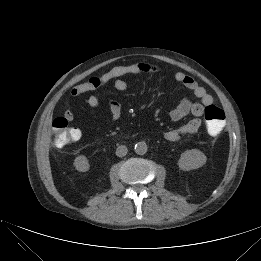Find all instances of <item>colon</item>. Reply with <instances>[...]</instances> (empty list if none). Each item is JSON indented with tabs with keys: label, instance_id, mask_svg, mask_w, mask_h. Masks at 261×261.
Masks as SVG:
<instances>
[{
	"label": "colon",
	"instance_id": "colon-1",
	"mask_svg": "<svg viewBox=\"0 0 261 261\" xmlns=\"http://www.w3.org/2000/svg\"><path fill=\"white\" fill-rule=\"evenodd\" d=\"M204 120L206 129L211 135H217L223 128L225 121L224 111L210 104L204 109ZM54 132V144L56 147H64L75 143L80 139V131L77 128L70 127L65 117H58L52 124Z\"/></svg>",
	"mask_w": 261,
	"mask_h": 261
}]
</instances>
